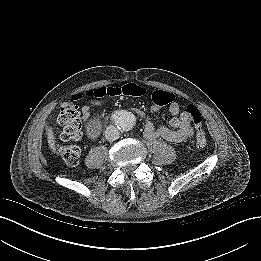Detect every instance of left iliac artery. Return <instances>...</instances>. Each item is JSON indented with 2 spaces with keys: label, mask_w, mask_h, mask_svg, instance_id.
I'll return each mask as SVG.
<instances>
[{
  "label": "left iliac artery",
  "mask_w": 261,
  "mask_h": 261,
  "mask_svg": "<svg viewBox=\"0 0 261 261\" xmlns=\"http://www.w3.org/2000/svg\"><path fill=\"white\" fill-rule=\"evenodd\" d=\"M130 127H131V125H129L128 123H127V124L123 123V124L121 125V128H122L123 130H129Z\"/></svg>",
  "instance_id": "44dca946"
}]
</instances>
